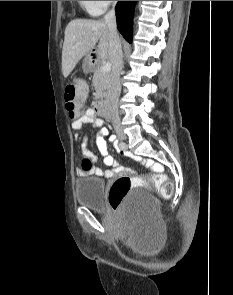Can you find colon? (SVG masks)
<instances>
[{
	"label": "colon",
	"mask_w": 233,
	"mask_h": 295,
	"mask_svg": "<svg viewBox=\"0 0 233 295\" xmlns=\"http://www.w3.org/2000/svg\"><path fill=\"white\" fill-rule=\"evenodd\" d=\"M86 96L87 87L83 81L75 79L66 86L64 91L65 108L71 118H75L80 113ZM90 167V162L83 160V171L89 172ZM148 179L157 186L162 197H169L172 194V185L164 175L153 174ZM142 185L143 180L139 178H130L124 176L115 180L110 188L108 196V201L111 208L114 210L120 208L129 193L133 189Z\"/></svg>",
	"instance_id": "obj_1"
}]
</instances>
